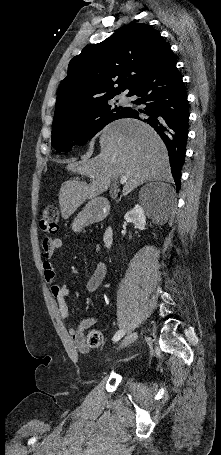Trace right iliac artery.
<instances>
[{
  "label": "right iliac artery",
  "instance_id": "obj_1",
  "mask_svg": "<svg viewBox=\"0 0 221 455\" xmlns=\"http://www.w3.org/2000/svg\"><path fill=\"white\" fill-rule=\"evenodd\" d=\"M124 334H125V332L123 330L117 331L116 334L113 337V341L117 342L118 340H120L124 336Z\"/></svg>",
  "mask_w": 221,
  "mask_h": 455
}]
</instances>
